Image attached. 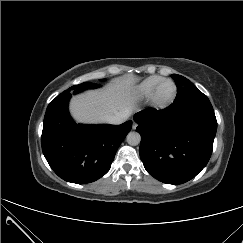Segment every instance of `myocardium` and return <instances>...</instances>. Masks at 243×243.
<instances>
[{
  "label": "myocardium",
  "mask_w": 243,
  "mask_h": 243,
  "mask_svg": "<svg viewBox=\"0 0 243 243\" xmlns=\"http://www.w3.org/2000/svg\"><path fill=\"white\" fill-rule=\"evenodd\" d=\"M166 83H171L173 85L174 92H173V95L169 99L161 100L159 98V90ZM177 93H178V88H177L176 83L172 79H164L154 89V91L150 97L151 104L156 109H164V108L170 106L175 101V99L177 97Z\"/></svg>",
  "instance_id": "1"
}]
</instances>
